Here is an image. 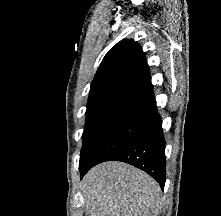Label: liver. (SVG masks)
Segmentation results:
<instances>
[{
  "instance_id": "1",
  "label": "liver",
  "mask_w": 221,
  "mask_h": 216,
  "mask_svg": "<svg viewBox=\"0 0 221 216\" xmlns=\"http://www.w3.org/2000/svg\"><path fill=\"white\" fill-rule=\"evenodd\" d=\"M82 193L86 216H156L163 203L154 179L117 161L92 168L82 181Z\"/></svg>"
}]
</instances>
